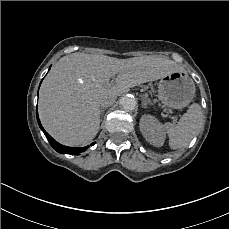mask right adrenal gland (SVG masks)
Segmentation results:
<instances>
[{"mask_svg": "<svg viewBox=\"0 0 229 229\" xmlns=\"http://www.w3.org/2000/svg\"><path fill=\"white\" fill-rule=\"evenodd\" d=\"M107 109V107H101V110H100V115L101 117H103L104 115V111Z\"/></svg>", "mask_w": 229, "mask_h": 229, "instance_id": "right-adrenal-gland-1", "label": "right adrenal gland"}]
</instances>
